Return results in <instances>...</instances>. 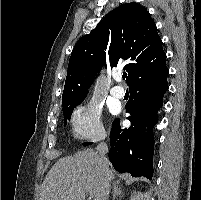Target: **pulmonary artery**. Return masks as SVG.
<instances>
[{
	"label": "pulmonary artery",
	"mask_w": 201,
	"mask_h": 200,
	"mask_svg": "<svg viewBox=\"0 0 201 200\" xmlns=\"http://www.w3.org/2000/svg\"><path fill=\"white\" fill-rule=\"evenodd\" d=\"M116 80L120 81V76H116ZM110 92L113 97L118 98V99L123 98L125 95V90L120 85H116V86L112 87Z\"/></svg>",
	"instance_id": "e3ab8cb5"
}]
</instances>
